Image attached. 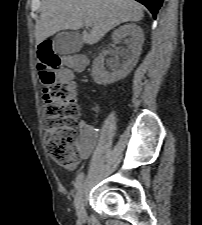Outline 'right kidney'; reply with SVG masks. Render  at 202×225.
<instances>
[{
	"label": "right kidney",
	"mask_w": 202,
	"mask_h": 225,
	"mask_svg": "<svg viewBox=\"0 0 202 225\" xmlns=\"http://www.w3.org/2000/svg\"><path fill=\"white\" fill-rule=\"evenodd\" d=\"M112 39L115 43H120L124 40L127 44V49H124L121 53L125 60L122 64H119L117 60L112 61L110 69L115 67L117 70L109 72L104 68V55L100 53L95 58L92 68V76L97 84L107 85L114 83L125 78L132 71L142 50L144 34L138 25L132 23L116 29L113 32Z\"/></svg>",
	"instance_id": "obj_1"
}]
</instances>
